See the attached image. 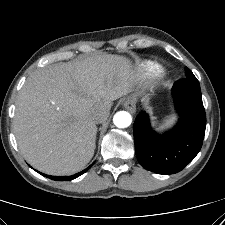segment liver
<instances>
[{"instance_id":"liver-1","label":"liver","mask_w":225,"mask_h":225,"mask_svg":"<svg viewBox=\"0 0 225 225\" xmlns=\"http://www.w3.org/2000/svg\"><path fill=\"white\" fill-rule=\"evenodd\" d=\"M134 71L124 56L102 54L43 67L19 92L14 133L27 162L49 175H71L94 155L95 111L131 91Z\"/></svg>"}]
</instances>
